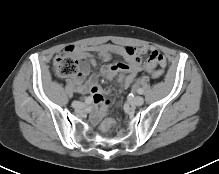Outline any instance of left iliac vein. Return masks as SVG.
I'll list each match as a JSON object with an SVG mask.
<instances>
[{
  "label": "left iliac vein",
  "instance_id": "4c4485c4",
  "mask_svg": "<svg viewBox=\"0 0 219 174\" xmlns=\"http://www.w3.org/2000/svg\"><path fill=\"white\" fill-rule=\"evenodd\" d=\"M144 103V98L142 96H136L131 100L133 106H141Z\"/></svg>",
  "mask_w": 219,
  "mask_h": 174
}]
</instances>
